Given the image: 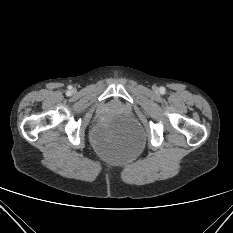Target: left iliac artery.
<instances>
[{"label": "left iliac artery", "instance_id": "obj_1", "mask_svg": "<svg viewBox=\"0 0 233 233\" xmlns=\"http://www.w3.org/2000/svg\"><path fill=\"white\" fill-rule=\"evenodd\" d=\"M164 90H165V89L162 87V88H161V91L164 92Z\"/></svg>", "mask_w": 233, "mask_h": 233}]
</instances>
